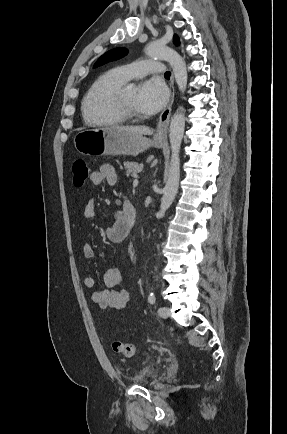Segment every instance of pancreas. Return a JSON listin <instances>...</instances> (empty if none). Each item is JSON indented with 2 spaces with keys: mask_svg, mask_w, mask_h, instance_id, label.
Listing matches in <instances>:
<instances>
[{
  "mask_svg": "<svg viewBox=\"0 0 287 434\" xmlns=\"http://www.w3.org/2000/svg\"><path fill=\"white\" fill-rule=\"evenodd\" d=\"M124 167L126 169L127 177H130V176L135 177L141 171L143 166H142V164H138L137 162L126 161V162H124Z\"/></svg>",
  "mask_w": 287,
  "mask_h": 434,
  "instance_id": "1",
  "label": "pancreas"
}]
</instances>
